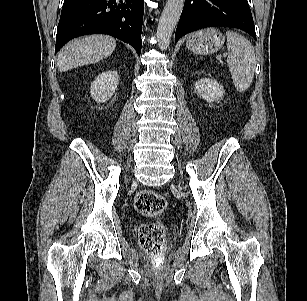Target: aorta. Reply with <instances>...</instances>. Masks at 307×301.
<instances>
[{
  "label": "aorta",
  "mask_w": 307,
  "mask_h": 301,
  "mask_svg": "<svg viewBox=\"0 0 307 301\" xmlns=\"http://www.w3.org/2000/svg\"><path fill=\"white\" fill-rule=\"evenodd\" d=\"M185 0H167L157 27L158 46L166 50L170 44L172 33L179 21Z\"/></svg>",
  "instance_id": "obj_1"
}]
</instances>
